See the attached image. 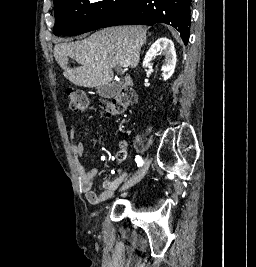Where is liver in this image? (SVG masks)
I'll list each match as a JSON object with an SVG mask.
<instances>
[{"label": "liver", "instance_id": "obj_1", "mask_svg": "<svg viewBox=\"0 0 256 267\" xmlns=\"http://www.w3.org/2000/svg\"><path fill=\"white\" fill-rule=\"evenodd\" d=\"M145 40L143 26H115L95 32L82 42L56 44L54 58L69 82L94 88L112 82L113 68L121 62L136 68ZM69 58L81 64L80 68H69Z\"/></svg>", "mask_w": 256, "mask_h": 267}]
</instances>
